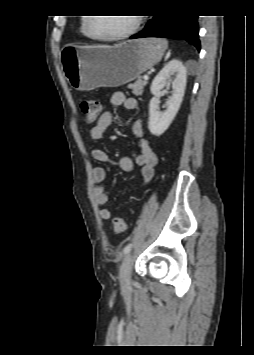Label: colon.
I'll return each mask as SVG.
<instances>
[{"label": "colon", "instance_id": "colon-1", "mask_svg": "<svg viewBox=\"0 0 254 355\" xmlns=\"http://www.w3.org/2000/svg\"><path fill=\"white\" fill-rule=\"evenodd\" d=\"M81 110L88 122H94L98 119L101 106L100 103L92 99H84L80 103ZM113 230L116 234H122L127 229V223L122 217H115L112 222Z\"/></svg>", "mask_w": 254, "mask_h": 355}]
</instances>
